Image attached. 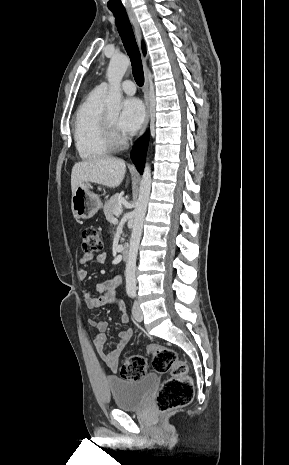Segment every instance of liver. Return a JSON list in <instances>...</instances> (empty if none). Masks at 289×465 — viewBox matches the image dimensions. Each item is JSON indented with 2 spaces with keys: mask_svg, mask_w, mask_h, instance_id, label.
<instances>
[{
  "mask_svg": "<svg viewBox=\"0 0 289 465\" xmlns=\"http://www.w3.org/2000/svg\"><path fill=\"white\" fill-rule=\"evenodd\" d=\"M125 173V161L118 158L105 157L76 163L71 172L72 194L85 182L116 188L122 183Z\"/></svg>",
  "mask_w": 289,
  "mask_h": 465,
  "instance_id": "obj_1",
  "label": "liver"
}]
</instances>
